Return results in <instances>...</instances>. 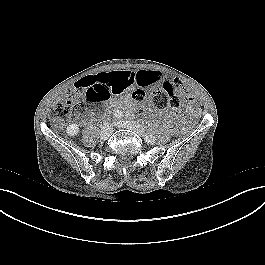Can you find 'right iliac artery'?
<instances>
[{
	"label": "right iliac artery",
	"mask_w": 265,
	"mask_h": 265,
	"mask_svg": "<svg viewBox=\"0 0 265 265\" xmlns=\"http://www.w3.org/2000/svg\"><path fill=\"white\" fill-rule=\"evenodd\" d=\"M122 117H123V114H122L121 111H116V112L114 113V118H116V119H121Z\"/></svg>",
	"instance_id": "obj_1"
}]
</instances>
